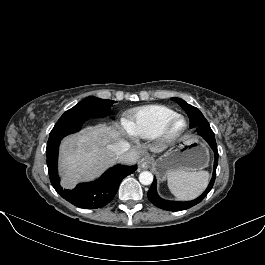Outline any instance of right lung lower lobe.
Here are the masks:
<instances>
[{
  "instance_id": "right-lung-lower-lobe-1",
  "label": "right lung lower lobe",
  "mask_w": 265,
  "mask_h": 265,
  "mask_svg": "<svg viewBox=\"0 0 265 265\" xmlns=\"http://www.w3.org/2000/svg\"><path fill=\"white\" fill-rule=\"evenodd\" d=\"M86 120L77 117L55 124L50 132L46 147L47 166L51 184L60 196L77 207L97 209L105 206L114 198L122 179L134 173L137 167L116 165L108 169L96 181L80 183L71 190L62 188L57 171L60 141L65 136L78 132Z\"/></svg>"
}]
</instances>
